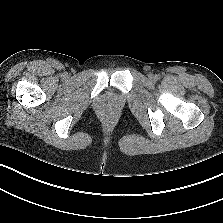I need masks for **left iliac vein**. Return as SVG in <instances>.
<instances>
[{
  "label": "left iliac vein",
  "mask_w": 223,
  "mask_h": 223,
  "mask_svg": "<svg viewBox=\"0 0 223 223\" xmlns=\"http://www.w3.org/2000/svg\"><path fill=\"white\" fill-rule=\"evenodd\" d=\"M149 78L152 79V80L155 79V77L153 76V74H149Z\"/></svg>",
  "instance_id": "left-iliac-vein-1"
}]
</instances>
